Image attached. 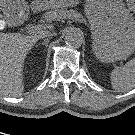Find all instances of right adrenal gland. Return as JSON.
Instances as JSON below:
<instances>
[{
	"label": "right adrenal gland",
	"mask_w": 135,
	"mask_h": 135,
	"mask_svg": "<svg viewBox=\"0 0 135 135\" xmlns=\"http://www.w3.org/2000/svg\"><path fill=\"white\" fill-rule=\"evenodd\" d=\"M49 40H50V37L45 39L40 45H45V47H47Z\"/></svg>",
	"instance_id": "right-adrenal-gland-1"
}]
</instances>
